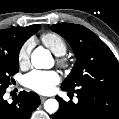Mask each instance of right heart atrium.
<instances>
[{"label": "right heart atrium", "mask_w": 119, "mask_h": 119, "mask_svg": "<svg viewBox=\"0 0 119 119\" xmlns=\"http://www.w3.org/2000/svg\"><path fill=\"white\" fill-rule=\"evenodd\" d=\"M32 46V41L28 40L20 48L18 52V62L20 66H25L29 62Z\"/></svg>", "instance_id": "right-heart-atrium-1"}]
</instances>
